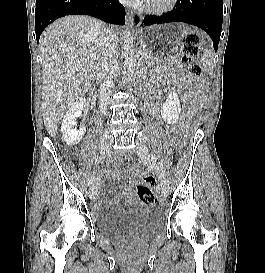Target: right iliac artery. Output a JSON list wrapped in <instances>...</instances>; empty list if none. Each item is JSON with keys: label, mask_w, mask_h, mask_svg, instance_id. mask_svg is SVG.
I'll list each match as a JSON object with an SVG mask.
<instances>
[{"label": "right iliac artery", "mask_w": 265, "mask_h": 273, "mask_svg": "<svg viewBox=\"0 0 265 273\" xmlns=\"http://www.w3.org/2000/svg\"><path fill=\"white\" fill-rule=\"evenodd\" d=\"M101 159H102L101 156H96L95 159H94V164H99L101 162ZM87 184H88V186H91L93 184L92 176L88 177Z\"/></svg>", "instance_id": "right-iliac-artery-1"}]
</instances>
